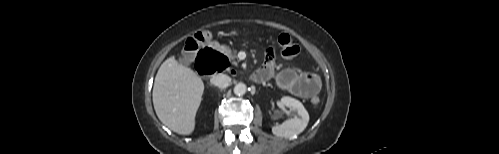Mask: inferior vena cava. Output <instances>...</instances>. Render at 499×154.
Returning <instances> with one entry per match:
<instances>
[{
	"label": "inferior vena cava",
	"instance_id": "602c4592",
	"mask_svg": "<svg viewBox=\"0 0 499 154\" xmlns=\"http://www.w3.org/2000/svg\"><path fill=\"white\" fill-rule=\"evenodd\" d=\"M210 82L215 86L225 87L231 82V78L225 74H217L212 76Z\"/></svg>",
	"mask_w": 499,
	"mask_h": 154
}]
</instances>
